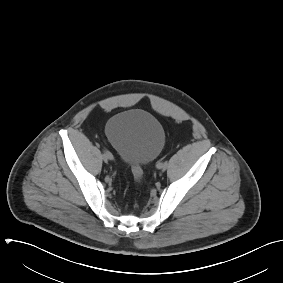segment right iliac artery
Listing matches in <instances>:
<instances>
[{
    "instance_id": "1",
    "label": "right iliac artery",
    "mask_w": 283,
    "mask_h": 283,
    "mask_svg": "<svg viewBox=\"0 0 283 283\" xmlns=\"http://www.w3.org/2000/svg\"><path fill=\"white\" fill-rule=\"evenodd\" d=\"M104 153H105V154H109V155H111V156H112V159H113V155H112L109 151L104 150Z\"/></svg>"
}]
</instances>
